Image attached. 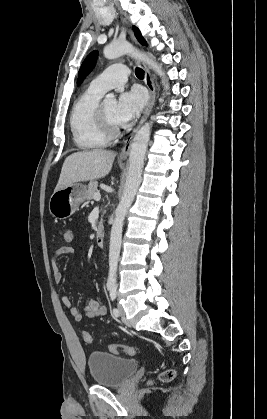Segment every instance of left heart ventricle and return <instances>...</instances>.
<instances>
[{
  "instance_id": "1",
  "label": "left heart ventricle",
  "mask_w": 267,
  "mask_h": 419,
  "mask_svg": "<svg viewBox=\"0 0 267 419\" xmlns=\"http://www.w3.org/2000/svg\"><path fill=\"white\" fill-rule=\"evenodd\" d=\"M116 106H117V104L115 102H108V103L103 104V108H104V111L106 113V116H107L109 122L114 126H119L117 124L116 118H115Z\"/></svg>"
}]
</instances>
